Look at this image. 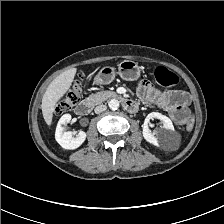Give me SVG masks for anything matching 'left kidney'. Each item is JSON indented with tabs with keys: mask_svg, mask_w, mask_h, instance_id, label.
<instances>
[{
	"mask_svg": "<svg viewBox=\"0 0 224 224\" xmlns=\"http://www.w3.org/2000/svg\"><path fill=\"white\" fill-rule=\"evenodd\" d=\"M153 118L161 120V122L163 123V127L161 128V130L151 132V130L149 129V121ZM173 131H174L173 123L167 116L162 115L161 113L158 112H152L148 114L147 117L145 118L142 134L147 142L155 146H160L167 143L169 134Z\"/></svg>",
	"mask_w": 224,
	"mask_h": 224,
	"instance_id": "5707ae66",
	"label": "left kidney"
}]
</instances>
